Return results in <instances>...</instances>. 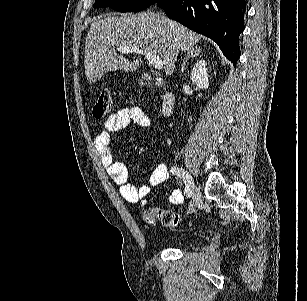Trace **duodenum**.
<instances>
[{
	"mask_svg": "<svg viewBox=\"0 0 307 301\" xmlns=\"http://www.w3.org/2000/svg\"><path fill=\"white\" fill-rule=\"evenodd\" d=\"M175 98L171 91L166 90L162 97L161 110L163 115L170 116L173 113Z\"/></svg>",
	"mask_w": 307,
	"mask_h": 301,
	"instance_id": "duodenum-1",
	"label": "duodenum"
}]
</instances>
